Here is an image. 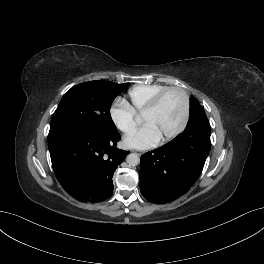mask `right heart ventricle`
Instances as JSON below:
<instances>
[{"mask_svg": "<svg viewBox=\"0 0 264 264\" xmlns=\"http://www.w3.org/2000/svg\"><path fill=\"white\" fill-rule=\"evenodd\" d=\"M168 86L163 84L136 85L128 90V105L135 113L141 114L151 100Z\"/></svg>", "mask_w": 264, "mask_h": 264, "instance_id": "1", "label": "right heart ventricle"}]
</instances>
